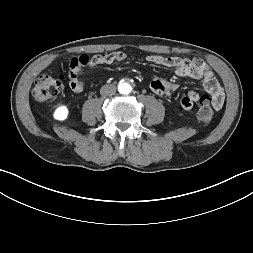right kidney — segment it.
Returning a JSON list of instances; mask_svg holds the SVG:
<instances>
[{
  "instance_id": "obj_1",
  "label": "right kidney",
  "mask_w": 253,
  "mask_h": 253,
  "mask_svg": "<svg viewBox=\"0 0 253 253\" xmlns=\"http://www.w3.org/2000/svg\"><path fill=\"white\" fill-rule=\"evenodd\" d=\"M68 108L66 106H60L58 107L54 112V118L56 120L63 121L68 117Z\"/></svg>"
}]
</instances>
